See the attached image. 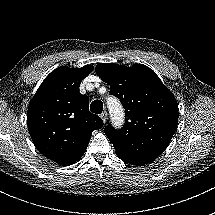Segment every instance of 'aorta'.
I'll list each match as a JSON object with an SVG mask.
<instances>
[{
	"instance_id": "obj_1",
	"label": "aorta",
	"mask_w": 215,
	"mask_h": 215,
	"mask_svg": "<svg viewBox=\"0 0 215 215\" xmlns=\"http://www.w3.org/2000/svg\"><path fill=\"white\" fill-rule=\"evenodd\" d=\"M108 108L110 110L111 113H113L114 115H118V118H122L123 117V109L121 107V104L119 103V101L117 99H110L108 101Z\"/></svg>"
}]
</instances>
